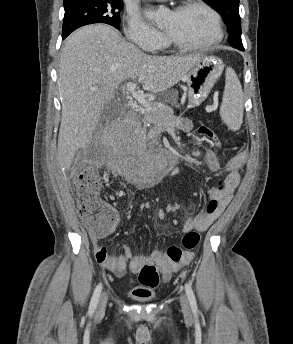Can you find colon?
Returning <instances> with one entry per match:
<instances>
[{
	"instance_id": "5ec220e1",
	"label": "colon",
	"mask_w": 293,
	"mask_h": 344,
	"mask_svg": "<svg viewBox=\"0 0 293 344\" xmlns=\"http://www.w3.org/2000/svg\"><path fill=\"white\" fill-rule=\"evenodd\" d=\"M200 135L211 144L218 145L219 140L214 131L208 127L199 128ZM224 188L221 182L219 190ZM101 181L98 172L93 167L82 170L74 182V195L77 202V211L92 237L100 238L111 233L117 222L116 211L105 204L99 197ZM217 201L211 200L207 206L208 213L217 209ZM200 242V234L190 230L184 234L181 243L171 245L166 251L167 260L180 261L186 252L193 251ZM139 282L146 288H155L160 282V271L155 265L144 266L139 273Z\"/></svg>"
}]
</instances>
